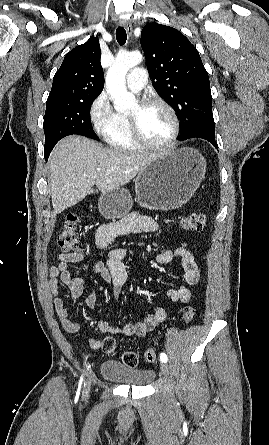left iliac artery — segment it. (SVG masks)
Returning <instances> with one entry per match:
<instances>
[{
    "label": "left iliac artery",
    "mask_w": 269,
    "mask_h": 445,
    "mask_svg": "<svg viewBox=\"0 0 269 445\" xmlns=\"http://www.w3.org/2000/svg\"><path fill=\"white\" fill-rule=\"evenodd\" d=\"M160 359L162 362H167V360H168L167 355L165 353L160 354Z\"/></svg>",
    "instance_id": "44dca946"
}]
</instances>
